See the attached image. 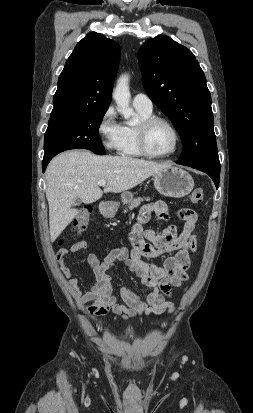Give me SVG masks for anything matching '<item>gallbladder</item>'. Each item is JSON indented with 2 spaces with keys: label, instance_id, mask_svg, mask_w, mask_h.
<instances>
[{
  "label": "gallbladder",
  "instance_id": "gallbladder-1",
  "mask_svg": "<svg viewBox=\"0 0 253 413\" xmlns=\"http://www.w3.org/2000/svg\"><path fill=\"white\" fill-rule=\"evenodd\" d=\"M74 205H80L81 204V200L80 199H75L73 202Z\"/></svg>",
  "mask_w": 253,
  "mask_h": 413
}]
</instances>
